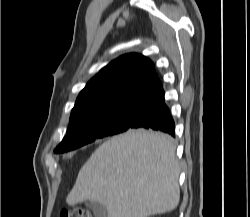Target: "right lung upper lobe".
Returning <instances> with one entry per match:
<instances>
[{"instance_id":"cb5924a9","label":"right lung upper lobe","mask_w":250,"mask_h":217,"mask_svg":"<svg viewBox=\"0 0 250 217\" xmlns=\"http://www.w3.org/2000/svg\"><path fill=\"white\" fill-rule=\"evenodd\" d=\"M162 89L152 62L139 54L112 61L80 92L70 119L121 105L140 104Z\"/></svg>"}]
</instances>
